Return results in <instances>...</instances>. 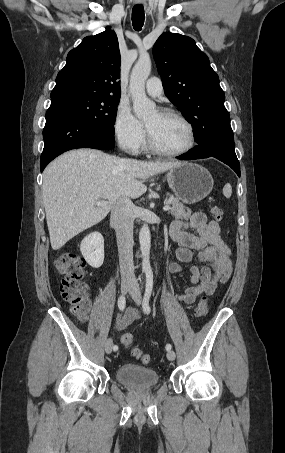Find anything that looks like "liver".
<instances>
[{
    "label": "liver",
    "mask_w": 285,
    "mask_h": 453,
    "mask_svg": "<svg viewBox=\"0 0 285 453\" xmlns=\"http://www.w3.org/2000/svg\"><path fill=\"white\" fill-rule=\"evenodd\" d=\"M178 162L111 156L95 149L66 152L43 172V203L53 250L103 220L120 198H138L144 180Z\"/></svg>",
    "instance_id": "obj_1"
}]
</instances>
